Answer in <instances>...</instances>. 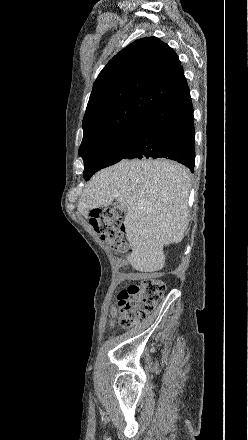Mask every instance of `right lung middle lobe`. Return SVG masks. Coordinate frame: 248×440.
<instances>
[{"label": "right lung middle lobe", "mask_w": 248, "mask_h": 440, "mask_svg": "<svg viewBox=\"0 0 248 440\" xmlns=\"http://www.w3.org/2000/svg\"><path fill=\"white\" fill-rule=\"evenodd\" d=\"M130 143L128 129L111 133L97 142L79 149L84 160L83 177L88 180L98 170L123 159Z\"/></svg>", "instance_id": "obj_1"}]
</instances>
